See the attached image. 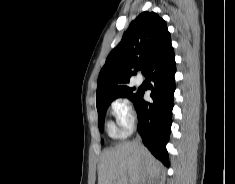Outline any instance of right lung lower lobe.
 I'll use <instances>...</instances> for the list:
<instances>
[{"label":"right lung lower lobe","mask_w":235,"mask_h":184,"mask_svg":"<svg viewBox=\"0 0 235 184\" xmlns=\"http://www.w3.org/2000/svg\"><path fill=\"white\" fill-rule=\"evenodd\" d=\"M175 72L176 63L173 52L145 75L152 81L149 89L153 102L144 101V92L140 90L133 101L138 115V131L144 145L167 167H169V159L165 146L169 140L172 123Z\"/></svg>","instance_id":"1"}]
</instances>
